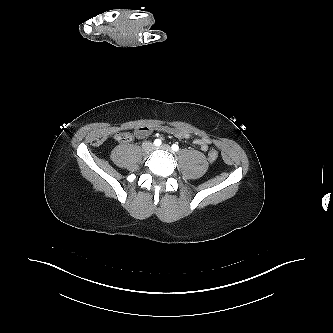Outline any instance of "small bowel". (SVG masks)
<instances>
[{
	"label": "small bowel",
	"mask_w": 333,
	"mask_h": 333,
	"mask_svg": "<svg viewBox=\"0 0 333 333\" xmlns=\"http://www.w3.org/2000/svg\"><path fill=\"white\" fill-rule=\"evenodd\" d=\"M157 129L172 134L177 138H190L189 132L180 127L159 126ZM153 130L152 127H138L135 129L134 134L137 138L142 139L150 135ZM194 144L199 146L202 151H207L210 140L207 137H200L194 140Z\"/></svg>",
	"instance_id": "small-bowel-1"
}]
</instances>
